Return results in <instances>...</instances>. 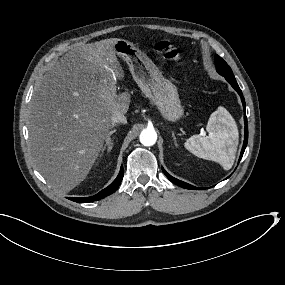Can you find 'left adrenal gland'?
Returning a JSON list of instances; mask_svg holds the SVG:
<instances>
[{
	"label": "left adrenal gland",
	"mask_w": 285,
	"mask_h": 285,
	"mask_svg": "<svg viewBox=\"0 0 285 285\" xmlns=\"http://www.w3.org/2000/svg\"><path fill=\"white\" fill-rule=\"evenodd\" d=\"M172 137H173L175 146H178L177 141H176V136L173 131H172Z\"/></svg>",
	"instance_id": "obj_1"
}]
</instances>
